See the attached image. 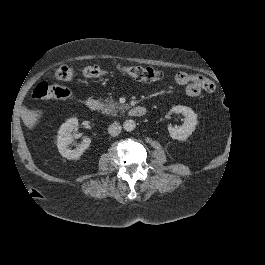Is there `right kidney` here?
Returning <instances> with one entry per match:
<instances>
[{"label":"right kidney","instance_id":"ca27d5eb","mask_svg":"<svg viewBox=\"0 0 265 265\" xmlns=\"http://www.w3.org/2000/svg\"><path fill=\"white\" fill-rule=\"evenodd\" d=\"M78 127V119L71 118L65 122L59 130L58 149L60 154L66 157L68 160H76L80 158V156L87 150L91 143V139L88 136H85L77 149L71 150L69 145L72 138L77 133Z\"/></svg>","mask_w":265,"mask_h":265}]
</instances>
